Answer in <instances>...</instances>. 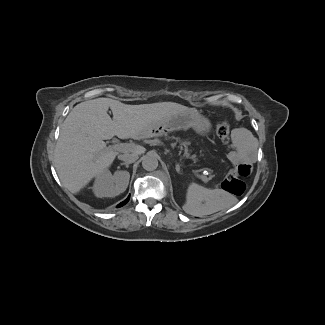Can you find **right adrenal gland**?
I'll list each match as a JSON object with an SVG mask.
<instances>
[{
  "instance_id": "right-adrenal-gland-1",
  "label": "right adrenal gland",
  "mask_w": 325,
  "mask_h": 325,
  "mask_svg": "<svg viewBox=\"0 0 325 325\" xmlns=\"http://www.w3.org/2000/svg\"><path fill=\"white\" fill-rule=\"evenodd\" d=\"M120 165L122 166V165H125L126 166V168H128L129 167V163H126V162H124V163H120Z\"/></svg>"
}]
</instances>
